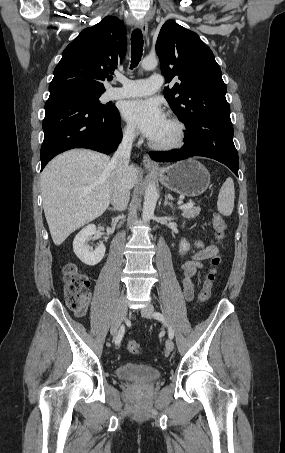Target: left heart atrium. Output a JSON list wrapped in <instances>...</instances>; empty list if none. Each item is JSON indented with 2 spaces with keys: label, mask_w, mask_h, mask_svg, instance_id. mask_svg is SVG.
<instances>
[{
  "label": "left heart atrium",
  "mask_w": 285,
  "mask_h": 453,
  "mask_svg": "<svg viewBox=\"0 0 285 453\" xmlns=\"http://www.w3.org/2000/svg\"><path fill=\"white\" fill-rule=\"evenodd\" d=\"M123 117L149 139L155 138L166 116L158 101L134 99L127 101L122 110Z\"/></svg>",
  "instance_id": "39dd6f15"
}]
</instances>
